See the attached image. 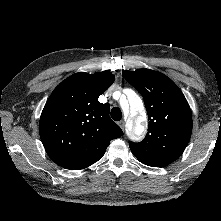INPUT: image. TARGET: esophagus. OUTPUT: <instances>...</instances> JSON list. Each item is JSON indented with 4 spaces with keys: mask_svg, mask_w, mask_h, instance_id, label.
<instances>
[{
    "mask_svg": "<svg viewBox=\"0 0 221 221\" xmlns=\"http://www.w3.org/2000/svg\"><path fill=\"white\" fill-rule=\"evenodd\" d=\"M118 124H119L120 128H121L122 130H124V128H125V122H124L123 120H121V121L118 122Z\"/></svg>",
    "mask_w": 221,
    "mask_h": 221,
    "instance_id": "34e87169",
    "label": "esophagus"
}]
</instances>
